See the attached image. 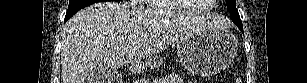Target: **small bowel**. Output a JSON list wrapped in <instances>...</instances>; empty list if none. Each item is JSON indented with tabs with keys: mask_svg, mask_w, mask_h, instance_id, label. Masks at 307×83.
Instances as JSON below:
<instances>
[{
	"mask_svg": "<svg viewBox=\"0 0 307 83\" xmlns=\"http://www.w3.org/2000/svg\"><path fill=\"white\" fill-rule=\"evenodd\" d=\"M160 83H183V80L176 74H170L163 77V79L160 80Z\"/></svg>",
	"mask_w": 307,
	"mask_h": 83,
	"instance_id": "obj_1",
	"label": "small bowel"
}]
</instances>
